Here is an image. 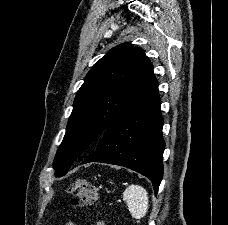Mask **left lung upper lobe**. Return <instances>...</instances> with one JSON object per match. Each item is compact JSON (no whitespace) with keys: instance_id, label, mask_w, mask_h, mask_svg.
<instances>
[{"instance_id":"obj_1","label":"left lung upper lobe","mask_w":228,"mask_h":225,"mask_svg":"<svg viewBox=\"0 0 228 225\" xmlns=\"http://www.w3.org/2000/svg\"><path fill=\"white\" fill-rule=\"evenodd\" d=\"M156 83L150 60L133 44H120L102 57L76 94L66 134L53 162L55 174L65 175L80 155L86 157L89 145Z\"/></svg>"}]
</instances>
